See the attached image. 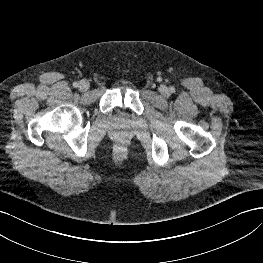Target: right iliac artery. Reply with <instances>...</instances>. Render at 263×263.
<instances>
[{"instance_id":"right-iliac-artery-1","label":"right iliac artery","mask_w":263,"mask_h":263,"mask_svg":"<svg viewBox=\"0 0 263 263\" xmlns=\"http://www.w3.org/2000/svg\"><path fill=\"white\" fill-rule=\"evenodd\" d=\"M73 87H75V88L79 87V83L78 82H74L73 83Z\"/></svg>"}]
</instances>
